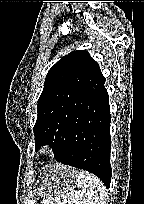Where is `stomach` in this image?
<instances>
[{
    "instance_id": "1",
    "label": "stomach",
    "mask_w": 144,
    "mask_h": 204,
    "mask_svg": "<svg viewBox=\"0 0 144 204\" xmlns=\"http://www.w3.org/2000/svg\"><path fill=\"white\" fill-rule=\"evenodd\" d=\"M77 182L78 174L73 168L57 164L43 171L35 183V190L39 195L49 199L73 190Z\"/></svg>"
}]
</instances>
